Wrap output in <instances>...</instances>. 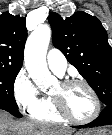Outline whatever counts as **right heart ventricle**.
I'll list each match as a JSON object with an SVG mask.
<instances>
[{"label": "right heart ventricle", "mask_w": 112, "mask_h": 135, "mask_svg": "<svg viewBox=\"0 0 112 135\" xmlns=\"http://www.w3.org/2000/svg\"><path fill=\"white\" fill-rule=\"evenodd\" d=\"M31 116L36 120L49 123H59L62 121V117H60L55 111L52 101L49 97H46L44 105L38 110L34 111Z\"/></svg>", "instance_id": "e07e8e85"}]
</instances>
